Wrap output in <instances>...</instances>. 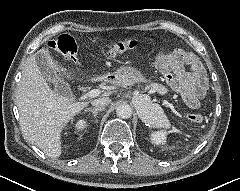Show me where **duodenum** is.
I'll use <instances>...</instances> for the list:
<instances>
[{"instance_id": "410a0bca", "label": "duodenum", "mask_w": 240, "mask_h": 191, "mask_svg": "<svg viewBox=\"0 0 240 191\" xmlns=\"http://www.w3.org/2000/svg\"><path fill=\"white\" fill-rule=\"evenodd\" d=\"M113 79H114L113 76H104V77L102 78L103 81H112Z\"/></svg>"}]
</instances>
